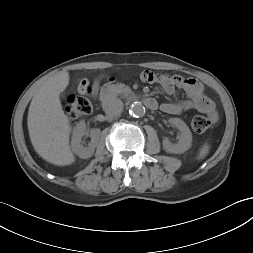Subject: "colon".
I'll return each mask as SVG.
<instances>
[{"label": "colon", "mask_w": 253, "mask_h": 253, "mask_svg": "<svg viewBox=\"0 0 253 253\" xmlns=\"http://www.w3.org/2000/svg\"><path fill=\"white\" fill-rule=\"evenodd\" d=\"M89 94L90 89H87L79 96H70L68 98L65 111L69 119H77L91 112L92 104ZM210 124V119L202 115H196L191 119V128L198 134L205 132Z\"/></svg>", "instance_id": "5ec220e1"}]
</instances>
